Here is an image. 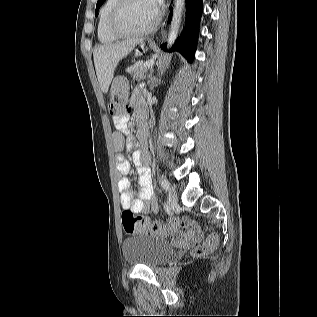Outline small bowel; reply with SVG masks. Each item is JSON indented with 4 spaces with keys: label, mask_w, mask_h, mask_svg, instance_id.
Segmentation results:
<instances>
[{
    "label": "small bowel",
    "mask_w": 317,
    "mask_h": 317,
    "mask_svg": "<svg viewBox=\"0 0 317 317\" xmlns=\"http://www.w3.org/2000/svg\"><path fill=\"white\" fill-rule=\"evenodd\" d=\"M132 105L139 109L141 107V99L139 91H136L131 99ZM115 131L112 134V145L117 152L116 167L121 174V179L118 182V189L120 192V203L122 208L130 209L137 214H146L157 211V202L154 195L152 185L151 172L147 166V140L146 131L143 118L137 114V125L143 127V134L138 130V138L141 141L142 148L135 150L132 153V161L137 168L139 175L138 187L139 191L135 192L131 189L130 181L127 175L130 172V163L122 154L124 149L132 150L135 147L136 139L129 130V118L127 115H122L114 118ZM173 234L174 241L191 242L200 237V231L194 224L184 226L179 234Z\"/></svg>",
    "instance_id": "c3829d8e"
}]
</instances>
